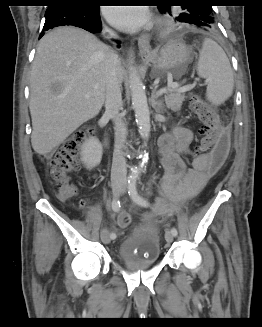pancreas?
I'll return each mask as SVG.
<instances>
[{
    "mask_svg": "<svg viewBox=\"0 0 262 327\" xmlns=\"http://www.w3.org/2000/svg\"><path fill=\"white\" fill-rule=\"evenodd\" d=\"M164 99L167 108L172 111H179L185 99V95L183 92L170 89L166 92Z\"/></svg>",
    "mask_w": 262,
    "mask_h": 327,
    "instance_id": "cf45deb5",
    "label": "pancreas"
}]
</instances>
